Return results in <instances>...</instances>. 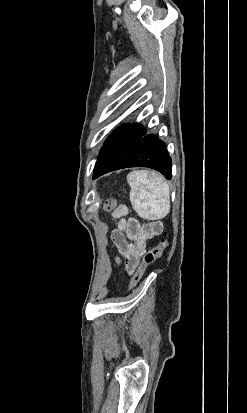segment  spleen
Instances as JSON below:
<instances>
[{
	"label": "spleen",
	"instance_id": "spleen-1",
	"mask_svg": "<svg viewBox=\"0 0 247 413\" xmlns=\"http://www.w3.org/2000/svg\"><path fill=\"white\" fill-rule=\"evenodd\" d=\"M127 182L131 186L129 198L136 211L148 204L151 213L150 221L163 219L170 211L169 184L159 172L150 170H132L127 174Z\"/></svg>",
	"mask_w": 247,
	"mask_h": 413
}]
</instances>
